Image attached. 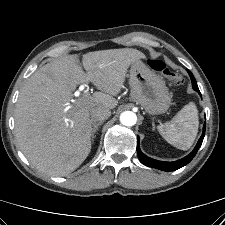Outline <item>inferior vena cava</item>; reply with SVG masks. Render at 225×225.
<instances>
[{
	"instance_id": "obj_1",
	"label": "inferior vena cava",
	"mask_w": 225,
	"mask_h": 225,
	"mask_svg": "<svg viewBox=\"0 0 225 225\" xmlns=\"http://www.w3.org/2000/svg\"><path fill=\"white\" fill-rule=\"evenodd\" d=\"M91 117L94 122L96 121H104L111 116V111L109 108L104 106H97L91 109Z\"/></svg>"
}]
</instances>
